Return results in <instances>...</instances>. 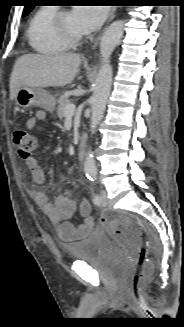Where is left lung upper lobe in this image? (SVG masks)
Returning <instances> with one entry per match:
<instances>
[{
	"instance_id": "1",
	"label": "left lung upper lobe",
	"mask_w": 184,
	"mask_h": 327,
	"mask_svg": "<svg viewBox=\"0 0 184 327\" xmlns=\"http://www.w3.org/2000/svg\"><path fill=\"white\" fill-rule=\"evenodd\" d=\"M29 4H27L26 6H25V8H24V11H23V15H22V17H25L26 15H28L29 14V12L33 9V7H34V5H32L31 3V1H29L28 2Z\"/></svg>"
}]
</instances>
